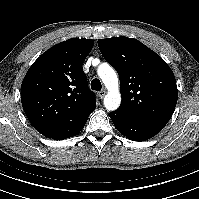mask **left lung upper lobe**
I'll use <instances>...</instances> for the list:
<instances>
[{
	"mask_svg": "<svg viewBox=\"0 0 199 199\" xmlns=\"http://www.w3.org/2000/svg\"><path fill=\"white\" fill-rule=\"evenodd\" d=\"M98 46L119 74L122 102L117 111L162 130L178 98L170 67L158 54L133 38L99 39Z\"/></svg>",
	"mask_w": 199,
	"mask_h": 199,
	"instance_id": "obj_1",
	"label": "left lung upper lobe"
}]
</instances>
